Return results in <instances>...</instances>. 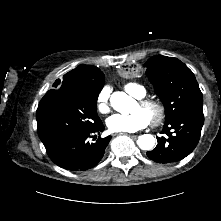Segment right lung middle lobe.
Instances as JSON below:
<instances>
[{"label":"right lung middle lobe","mask_w":221,"mask_h":221,"mask_svg":"<svg viewBox=\"0 0 221 221\" xmlns=\"http://www.w3.org/2000/svg\"><path fill=\"white\" fill-rule=\"evenodd\" d=\"M100 90L92 87L85 93L45 94L36 111V119L39 137L47 151L90 131L101 122L96 112Z\"/></svg>","instance_id":"1"}]
</instances>
